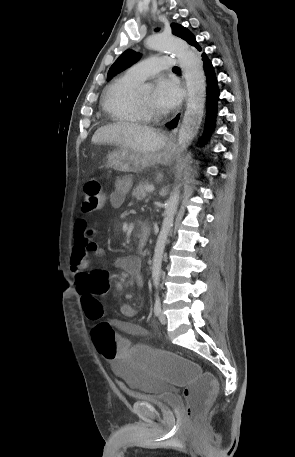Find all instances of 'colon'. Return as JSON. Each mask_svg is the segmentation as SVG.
<instances>
[{"label": "colon", "mask_w": 295, "mask_h": 457, "mask_svg": "<svg viewBox=\"0 0 295 457\" xmlns=\"http://www.w3.org/2000/svg\"><path fill=\"white\" fill-rule=\"evenodd\" d=\"M105 205L102 185L97 178H90L84 186L83 213H92ZM110 292V275L104 270H93L81 288L82 304L88 319L97 323L92 329V340L98 355L103 360L128 362L129 366H140L141 372H160L167 383H179L184 390L186 416L196 420L204 411L217 390V374H208L201 363H190L189 357H181L180 351H163L162 346H134L125 341L123 330H114L102 320L103 307L99 297ZM190 378V379H189Z\"/></svg>", "instance_id": "5ec220e1"}]
</instances>
